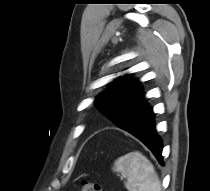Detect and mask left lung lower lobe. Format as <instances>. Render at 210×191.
<instances>
[{"instance_id": "left-lung-lower-lobe-1", "label": "left lung lower lobe", "mask_w": 210, "mask_h": 191, "mask_svg": "<svg viewBox=\"0 0 210 191\" xmlns=\"http://www.w3.org/2000/svg\"><path fill=\"white\" fill-rule=\"evenodd\" d=\"M130 118L131 120L136 119V129L132 130L130 134L144 143L151 150L158 162L164 165L161 156L163 149L162 140L156 132L152 108L144 102L131 112Z\"/></svg>"}]
</instances>
